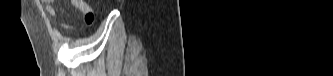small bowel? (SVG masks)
Here are the masks:
<instances>
[{"label":"small bowel","instance_id":"small-bowel-1","mask_svg":"<svg viewBox=\"0 0 333 76\" xmlns=\"http://www.w3.org/2000/svg\"><path fill=\"white\" fill-rule=\"evenodd\" d=\"M71 5L78 9L84 16L86 24H91L94 20V14L91 7L84 0H71ZM45 10L49 15L58 16L56 9L52 5L51 0L45 1ZM64 23L68 22L67 18H61Z\"/></svg>","mask_w":333,"mask_h":76}]
</instances>
